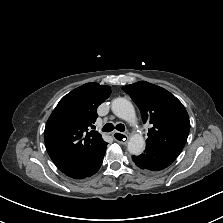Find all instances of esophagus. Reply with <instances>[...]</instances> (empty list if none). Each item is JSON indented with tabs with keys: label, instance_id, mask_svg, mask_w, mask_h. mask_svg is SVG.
<instances>
[{
	"label": "esophagus",
	"instance_id": "esophagus-1",
	"mask_svg": "<svg viewBox=\"0 0 223 223\" xmlns=\"http://www.w3.org/2000/svg\"><path fill=\"white\" fill-rule=\"evenodd\" d=\"M112 137L120 144H126L128 141V135L118 131L113 132Z\"/></svg>",
	"mask_w": 223,
	"mask_h": 223
}]
</instances>
